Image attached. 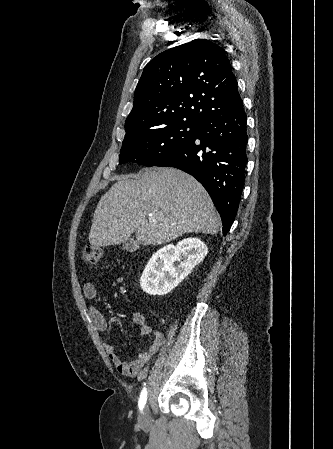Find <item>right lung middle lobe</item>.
Returning <instances> with one entry per match:
<instances>
[{
  "label": "right lung middle lobe",
  "instance_id": "1",
  "mask_svg": "<svg viewBox=\"0 0 333 449\" xmlns=\"http://www.w3.org/2000/svg\"><path fill=\"white\" fill-rule=\"evenodd\" d=\"M199 123L173 121L123 141L119 164L137 163L155 166L190 139Z\"/></svg>",
  "mask_w": 333,
  "mask_h": 449
}]
</instances>
